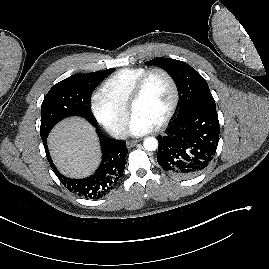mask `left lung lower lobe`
<instances>
[{"label": "left lung lower lobe", "mask_w": 269, "mask_h": 269, "mask_svg": "<svg viewBox=\"0 0 269 269\" xmlns=\"http://www.w3.org/2000/svg\"><path fill=\"white\" fill-rule=\"evenodd\" d=\"M157 161L169 174L191 178L212 161L219 141L216 108H197L176 119L164 136L158 137Z\"/></svg>", "instance_id": "0a47b994"}]
</instances>
